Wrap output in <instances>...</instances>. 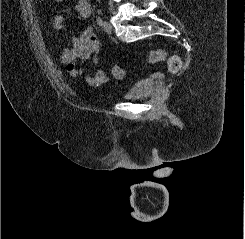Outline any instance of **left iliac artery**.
Wrapping results in <instances>:
<instances>
[{"label":"left iliac artery","mask_w":245,"mask_h":239,"mask_svg":"<svg viewBox=\"0 0 245 239\" xmlns=\"http://www.w3.org/2000/svg\"><path fill=\"white\" fill-rule=\"evenodd\" d=\"M97 24L99 26H102V24H103V19L100 16L97 17Z\"/></svg>","instance_id":"1"}]
</instances>
